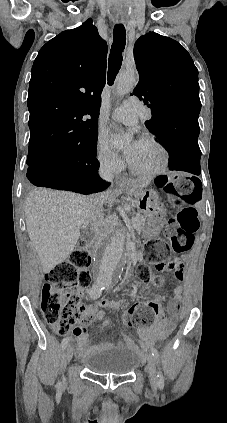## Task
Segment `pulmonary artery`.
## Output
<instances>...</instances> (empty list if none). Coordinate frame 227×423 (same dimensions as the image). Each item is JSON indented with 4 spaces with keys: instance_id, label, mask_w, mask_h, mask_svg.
I'll return each instance as SVG.
<instances>
[{
    "instance_id": "1",
    "label": "pulmonary artery",
    "mask_w": 227,
    "mask_h": 423,
    "mask_svg": "<svg viewBox=\"0 0 227 423\" xmlns=\"http://www.w3.org/2000/svg\"><path fill=\"white\" fill-rule=\"evenodd\" d=\"M112 118L124 125H135L138 120H151L153 113L151 111H137V104L134 101H124L112 113Z\"/></svg>"
}]
</instances>
